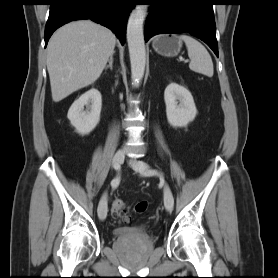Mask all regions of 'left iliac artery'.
<instances>
[{
	"label": "left iliac artery",
	"instance_id": "1",
	"mask_svg": "<svg viewBox=\"0 0 278 278\" xmlns=\"http://www.w3.org/2000/svg\"><path fill=\"white\" fill-rule=\"evenodd\" d=\"M155 173V171H150L148 174H154Z\"/></svg>",
	"mask_w": 278,
	"mask_h": 278
}]
</instances>
